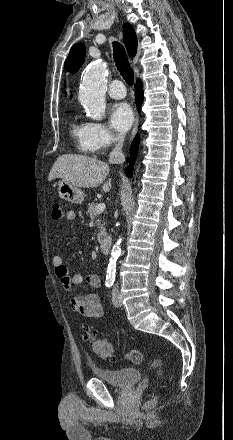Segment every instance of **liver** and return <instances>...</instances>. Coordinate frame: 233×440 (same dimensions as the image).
Masks as SVG:
<instances>
[{"mask_svg": "<svg viewBox=\"0 0 233 440\" xmlns=\"http://www.w3.org/2000/svg\"><path fill=\"white\" fill-rule=\"evenodd\" d=\"M109 173L107 163L93 157L66 154L57 158L48 180L62 178L68 183L82 188H95L104 182ZM111 189V179L102 187L103 192Z\"/></svg>", "mask_w": 233, "mask_h": 440, "instance_id": "6515ba94", "label": "liver"}]
</instances>
